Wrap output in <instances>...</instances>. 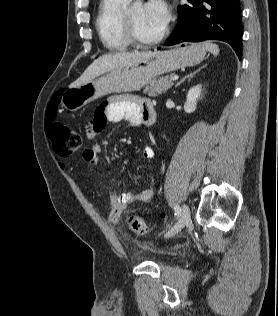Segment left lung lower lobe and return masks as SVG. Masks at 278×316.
I'll return each mask as SVG.
<instances>
[{
	"instance_id": "left-lung-lower-lobe-1",
	"label": "left lung lower lobe",
	"mask_w": 278,
	"mask_h": 316,
	"mask_svg": "<svg viewBox=\"0 0 278 316\" xmlns=\"http://www.w3.org/2000/svg\"><path fill=\"white\" fill-rule=\"evenodd\" d=\"M178 8V25L164 45L221 40L242 52V11L239 0H188ZM160 49V48H157Z\"/></svg>"
}]
</instances>
